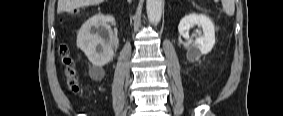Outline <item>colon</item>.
<instances>
[{
    "instance_id": "colon-1",
    "label": "colon",
    "mask_w": 283,
    "mask_h": 116,
    "mask_svg": "<svg viewBox=\"0 0 283 116\" xmlns=\"http://www.w3.org/2000/svg\"><path fill=\"white\" fill-rule=\"evenodd\" d=\"M59 54L61 57V62L64 65V72L67 78L69 89L73 93H76L79 90V86L75 78V69L71 63V58L69 57L68 49L66 47L61 48L59 50Z\"/></svg>"
}]
</instances>
